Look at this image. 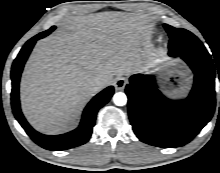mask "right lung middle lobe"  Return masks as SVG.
<instances>
[{"mask_svg": "<svg viewBox=\"0 0 220 173\" xmlns=\"http://www.w3.org/2000/svg\"><path fill=\"white\" fill-rule=\"evenodd\" d=\"M55 29V27H52L51 29L47 30L46 34H50L53 30Z\"/></svg>", "mask_w": 220, "mask_h": 173, "instance_id": "1", "label": "right lung middle lobe"}]
</instances>
